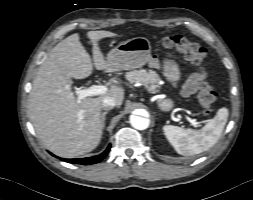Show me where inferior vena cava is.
<instances>
[{
	"instance_id": "inferior-vena-cava-1",
	"label": "inferior vena cava",
	"mask_w": 253,
	"mask_h": 200,
	"mask_svg": "<svg viewBox=\"0 0 253 200\" xmlns=\"http://www.w3.org/2000/svg\"><path fill=\"white\" fill-rule=\"evenodd\" d=\"M115 106H116V100L111 97L105 98L102 102V109L103 110H110Z\"/></svg>"
}]
</instances>
